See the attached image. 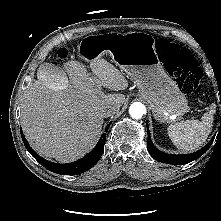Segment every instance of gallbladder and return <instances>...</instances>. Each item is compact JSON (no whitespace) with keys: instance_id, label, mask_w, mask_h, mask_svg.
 Listing matches in <instances>:
<instances>
[{"instance_id":"obj_1","label":"gallbladder","mask_w":221,"mask_h":221,"mask_svg":"<svg viewBox=\"0 0 221 221\" xmlns=\"http://www.w3.org/2000/svg\"><path fill=\"white\" fill-rule=\"evenodd\" d=\"M48 67H49L50 69L54 70V73H55V74H57V75L60 74V73H59V72L61 71L60 69L57 68V70H55L56 67L54 68L52 65H48Z\"/></svg>"}]
</instances>
